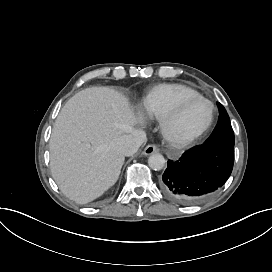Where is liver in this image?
Wrapping results in <instances>:
<instances>
[{"label":"liver","instance_id":"6515ba94","mask_svg":"<svg viewBox=\"0 0 272 272\" xmlns=\"http://www.w3.org/2000/svg\"><path fill=\"white\" fill-rule=\"evenodd\" d=\"M137 122L128 98L109 87L86 88L70 98L49 142L52 177L62 193L86 204L113 186L125 159L116 142Z\"/></svg>","mask_w":272,"mask_h":272}]
</instances>
